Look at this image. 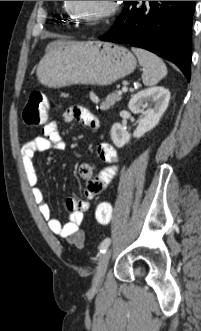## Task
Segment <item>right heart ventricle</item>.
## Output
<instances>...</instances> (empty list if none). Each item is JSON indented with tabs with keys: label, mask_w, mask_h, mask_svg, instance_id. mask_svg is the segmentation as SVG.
Masks as SVG:
<instances>
[{
	"label": "right heart ventricle",
	"mask_w": 201,
	"mask_h": 331,
	"mask_svg": "<svg viewBox=\"0 0 201 331\" xmlns=\"http://www.w3.org/2000/svg\"><path fill=\"white\" fill-rule=\"evenodd\" d=\"M68 15L72 18L74 17V12L72 11V9L70 11H68Z\"/></svg>",
	"instance_id": "e07e8e85"
}]
</instances>
